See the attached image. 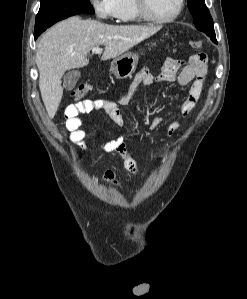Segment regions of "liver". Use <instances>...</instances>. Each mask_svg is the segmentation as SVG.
I'll return each instance as SVG.
<instances>
[{"instance_id": "liver-1", "label": "liver", "mask_w": 247, "mask_h": 299, "mask_svg": "<svg viewBox=\"0 0 247 299\" xmlns=\"http://www.w3.org/2000/svg\"><path fill=\"white\" fill-rule=\"evenodd\" d=\"M160 29L161 26L108 25L76 16L50 28L36 53L39 88L49 118L55 116L61 102L65 71L87 66V55L93 47L105 46L101 57L104 61L117 58Z\"/></svg>"}]
</instances>
